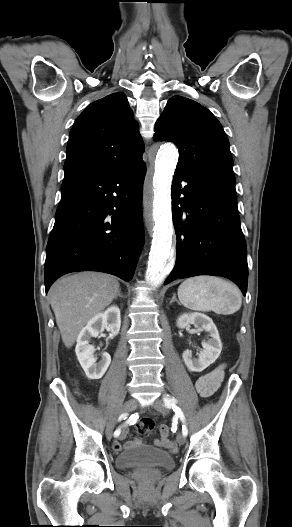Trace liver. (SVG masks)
Segmentation results:
<instances>
[{
    "label": "liver",
    "instance_id": "6515ba94",
    "mask_svg": "<svg viewBox=\"0 0 292 527\" xmlns=\"http://www.w3.org/2000/svg\"><path fill=\"white\" fill-rule=\"evenodd\" d=\"M119 291L120 284L113 276L97 272L62 277L51 286L50 304L67 348L73 346L86 323L110 305Z\"/></svg>",
    "mask_w": 292,
    "mask_h": 527
}]
</instances>
